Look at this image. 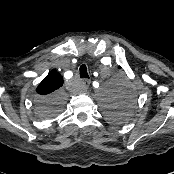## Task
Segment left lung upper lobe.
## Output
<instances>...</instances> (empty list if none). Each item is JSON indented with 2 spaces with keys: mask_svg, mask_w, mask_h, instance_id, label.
<instances>
[{
  "mask_svg": "<svg viewBox=\"0 0 174 174\" xmlns=\"http://www.w3.org/2000/svg\"><path fill=\"white\" fill-rule=\"evenodd\" d=\"M127 113H128L127 105H124V106L109 108L106 114L110 120L114 122L123 123L126 122L127 120Z\"/></svg>",
  "mask_w": 174,
  "mask_h": 174,
  "instance_id": "1",
  "label": "left lung upper lobe"
}]
</instances>
